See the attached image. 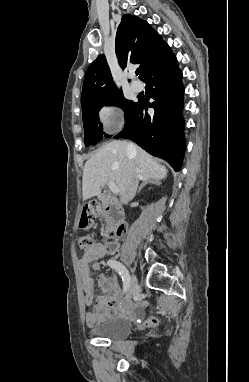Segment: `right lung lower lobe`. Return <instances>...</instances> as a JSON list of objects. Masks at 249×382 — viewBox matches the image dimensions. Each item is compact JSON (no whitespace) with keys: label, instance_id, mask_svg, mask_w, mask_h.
Returning a JSON list of instances; mask_svg holds the SVG:
<instances>
[{"label":"right lung lower lobe","instance_id":"obj_1","mask_svg":"<svg viewBox=\"0 0 249 382\" xmlns=\"http://www.w3.org/2000/svg\"><path fill=\"white\" fill-rule=\"evenodd\" d=\"M150 98H139L126 121L125 128L114 138H130L153 156L165 159L175 171L181 169L185 139L182 73L173 53L153 65L145 75ZM154 109L149 114L148 108Z\"/></svg>","mask_w":249,"mask_h":382}]
</instances>
